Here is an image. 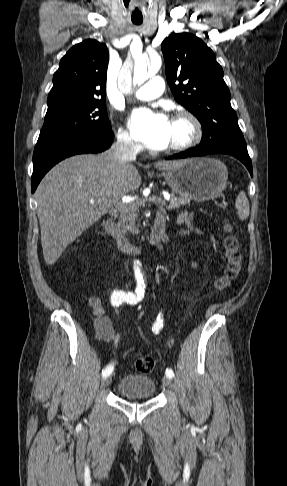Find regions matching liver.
Segmentation results:
<instances>
[{
	"label": "liver",
	"mask_w": 287,
	"mask_h": 486,
	"mask_svg": "<svg viewBox=\"0 0 287 486\" xmlns=\"http://www.w3.org/2000/svg\"><path fill=\"white\" fill-rule=\"evenodd\" d=\"M182 161H159L154 167L171 170ZM141 182L134 165L117 162L109 151L76 155L54 166L35 193L45 263L53 265L69 244Z\"/></svg>",
	"instance_id": "liver-1"
}]
</instances>
